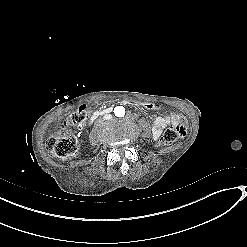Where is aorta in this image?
I'll return each instance as SVG.
<instances>
[{
    "instance_id": "762f6f07",
    "label": "aorta",
    "mask_w": 247,
    "mask_h": 247,
    "mask_svg": "<svg viewBox=\"0 0 247 247\" xmlns=\"http://www.w3.org/2000/svg\"><path fill=\"white\" fill-rule=\"evenodd\" d=\"M114 114L117 117H123L125 115V108L123 106L115 107Z\"/></svg>"
}]
</instances>
